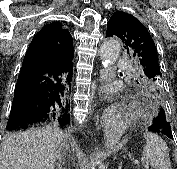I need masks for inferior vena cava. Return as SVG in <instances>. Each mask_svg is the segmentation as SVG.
I'll return each instance as SVG.
<instances>
[{"mask_svg":"<svg viewBox=\"0 0 177 169\" xmlns=\"http://www.w3.org/2000/svg\"><path fill=\"white\" fill-rule=\"evenodd\" d=\"M62 146L67 147V144L65 143V141H64V143H62Z\"/></svg>","mask_w":177,"mask_h":169,"instance_id":"inferior-vena-cava-1","label":"inferior vena cava"}]
</instances>
